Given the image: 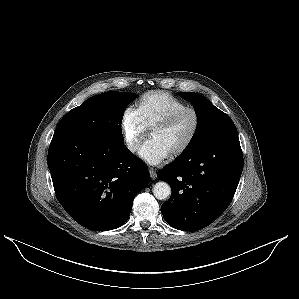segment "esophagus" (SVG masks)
<instances>
[{"label": "esophagus", "mask_w": 299, "mask_h": 299, "mask_svg": "<svg viewBox=\"0 0 299 299\" xmlns=\"http://www.w3.org/2000/svg\"><path fill=\"white\" fill-rule=\"evenodd\" d=\"M150 177L154 180L157 177L156 171L153 168H149Z\"/></svg>", "instance_id": "34e87169"}]
</instances>
